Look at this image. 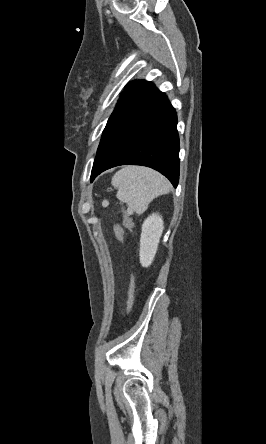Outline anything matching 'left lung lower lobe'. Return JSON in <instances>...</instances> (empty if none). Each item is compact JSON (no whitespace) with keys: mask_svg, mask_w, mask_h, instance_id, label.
Masks as SVG:
<instances>
[{"mask_svg":"<svg viewBox=\"0 0 266 444\" xmlns=\"http://www.w3.org/2000/svg\"><path fill=\"white\" fill-rule=\"evenodd\" d=\"M177 115L167 96L153 87L110 116L94 160L91 181L119 165H142L179 180Z\"/></svg>","mask_w":266,"mask_h":444,"instance_id":"obj_1","label":"left lung lower lobe"}]
</instances>
